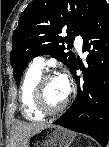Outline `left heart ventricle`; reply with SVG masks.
Wrapping results in <instances>:
<instances>
[{
  "mask_svg": "<svg viewBox=\"0 0 109 147\" xmlns=\"http://www.w3.org/2000/svg\"><path fill=\"white\" fill-rule=\"evenodd\" d=\"M67 94L59 78L49 80L44 88V97L50 108L60 106L65 100Z\"/></svg>",
  "mask_w": 109,
  "mask_h": 147,
  "instance_id": "left-heart-ventricle-1",
  "label": "left heart ventricle"
}]
</instances>
